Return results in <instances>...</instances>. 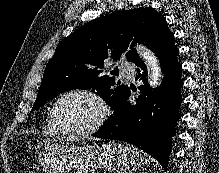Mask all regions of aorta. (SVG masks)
I'll return each mask as SVG.
<instances>
[{
    "label": "aorta",
    "instance_id": "1",
    "mask_svg": "<svg viewBox=\"0 0 219 173\" xmlns=\"http://www.w3.org/2000/svg\"><path fill=\"white\" fill-rule=\"evenodd\" d=\"M136 49L140 57L147 64L149 70L148 82L150 86L152 87L159 86L162 79V71L158 58L149 49H147L144 46L139 45L136 47Z\"/></svg>",
    "mask_w": 219,
    "mask_h": 173
}]
</instances>
